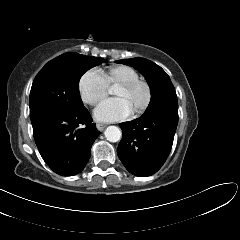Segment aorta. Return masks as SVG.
Masks as SVG:
<instances>
[{
	"label": "aorta",
	"instance_id": "1",
	"mask_svg": "<svg viewBox=\"0 0 240 240\" xmlns=\"http://www.w3.org/2000/svg\"><path fill=\"white\" fill-rule=\"evenodd\" d=\"M106 139L110 142H118L122 137L121 129L116 126H109L104 132Z\"/></svg>",
	"mask_w": 240,
	"mask_h": 240
}]
</instances>
